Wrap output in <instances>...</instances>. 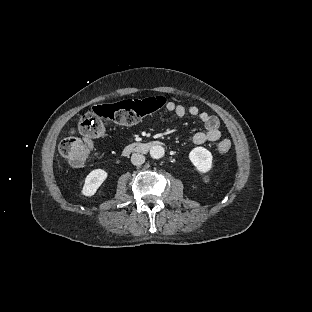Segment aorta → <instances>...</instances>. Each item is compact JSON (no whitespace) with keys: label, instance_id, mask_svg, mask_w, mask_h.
Instances as JSON below:
<instances>
[{"label":"aorta","instance_id":"762f6f07","mask_svg":"<svg viewBox=\"0 0 312 312\" xmlns=\"http://www.w3.org/2000/svg\"><path fill=\"white\" fill-rule=\"evenodd\" d=\"M149 154L153 159H160L164 156V148L160 145L151 146Z\"/></svg>","mask_w":312,"mask_h":312}]
</instances>
